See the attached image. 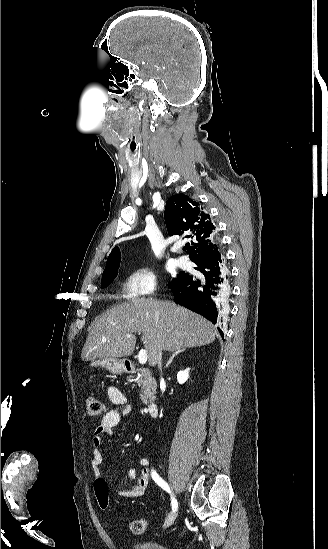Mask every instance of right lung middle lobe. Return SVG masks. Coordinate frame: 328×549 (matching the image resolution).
<instances>
[{"instance_id":"right-lung-middle-lobe-1","label":"right lung middle lobe","mask_w":328,"mask_h":549,"mask_svg":"<svg viewBox=\"0 0 328 549\" xmlns=\"http://www.w3.org/2000/svg\"><path fill=\"white\" fill-rule=\"evenodd\" d=\"M120 266V262L117 263L116 265L112 266L110 269L106 270L104 273H103V276H102V280H101V287L104 288L106 287L108 284H110L114 278L116 277L117 275V270ZM186 275V273H180L177 275L176 278H174L172 280V282H175L177 281L178 279H181L182 277H184ZM171 282V283H172ZM170 283V284H171Z\"/></svg>"}]
</instances>
